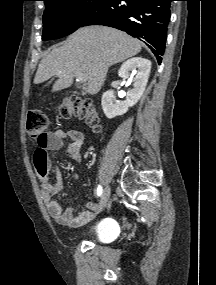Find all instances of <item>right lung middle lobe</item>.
Returning <instances> with one entry per match:
<instances>
[{
  "instance_id": "obj_1",
  "label": "right lung middle lobe",
  "mask_w": 216,
  "mask_h": 285,
  "mask_svg": "<svg viewBox=\"0 0 216 285\" xmlns=\"http://www.w3.org/2000/svg\"><path fill=\"white\" fill-rule=\"evenodd\" d=\"M105 0H50L45 3L42 40L62 38L77 30Z\"/></svg>"
}]
</instances>
